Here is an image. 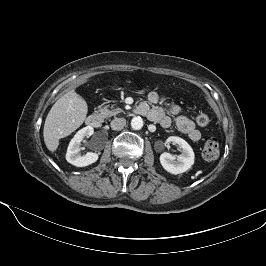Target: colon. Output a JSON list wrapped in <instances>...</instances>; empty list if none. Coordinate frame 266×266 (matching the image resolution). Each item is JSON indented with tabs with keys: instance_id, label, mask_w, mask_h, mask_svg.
I'll use <instances>...</instances> for the list:
<instances>
[{
	"instance_id": "colon-1",
	"label": "colon",
	"mask_w": 266,
	"mask_h": 266,
	"mask_svg": "<svg viewBox=\"0 0 266 266\" xmlns=\"http://www.w3.org/2000/svg\"><path fill=\"white\" fill-rule=\"evenodd\" d=\"M195 122L200 127H205L209 124L210 119L207 113L199 111L195 115ZM202 156L206 160H215L219 156V143L217 139L210 138L206 140L203 149Z\"/></svg>"
}]
</instances>
